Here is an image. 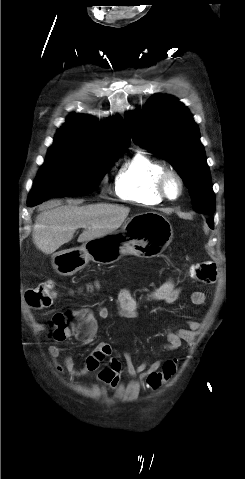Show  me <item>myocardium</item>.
Masks as SVG:
<instances>
[{
	"label": "myocardium",
	"instance_id": "f54148a6",
	"mask_svg": "<svg viewBox=\"0 0 245 479\" xmlns=\"http://www.w3.org/2000/svg\"><path fill=\"white\" fill-rule=\"evenodd\" d=\"M171 181H176L178 184V193L171 196L168 192V185ZM157 189L160 196L167 201H177L183 195L185 185L182 177L176 171L166 169L157 180Z\"/></svg>",
	"mask_w": 245,
	"mask_h": 479
}]
</instances>
